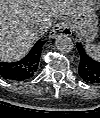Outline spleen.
Instances as JSON below:
<instances>
[{
  "instance_id": "3e777b00",
  "label": "spleen",
  "mask_w": 100,
  "mask_h": 118,
  "mask_svg": "<svg viewBox=\"0 0 100 118\" xmlns=\"http://www.w3.org/2000/svg\"><path fill=\"white\" fill-rule=\"evenodd\" d=\"M85 48H86V51L88 52V54L92 58H94L95 60L100 59V46L98 44H93V43L87 42L85 44Z\"/></svg>"
}]
</instances>
